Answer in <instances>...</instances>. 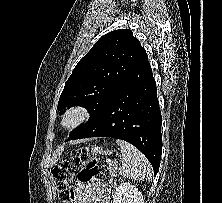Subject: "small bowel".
I'll list each match as a JSON object with an SVG mask.
<instances>
[{"mask_svg":"<svg viewBox=\"0 0 222 203\" xmlns=\"http://www.w3.org/2000/svg\"><path fill=\"white\" fill-rule=\"evenodd\" d=\"M71 203H109L110 188L101 182H80L73 187Z\"/></svg>","mask_w":222,"mask_h":203,"instance_id":"small-bowel-1","label":"small bowel"}]
</instances>
